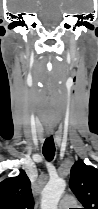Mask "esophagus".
I'll list each match as a JSON object with an SVG mask.
<instances>
[{
  "label": "esophagus",
  "mask_w": 98,
  "mask_h": 209,
  "mask_svg": "<svg viewBox=\"0 0 98 209\" xmlns=\"http://www.w3.org/2000/svg\"><path fill=\"white\" fill-rule=\"evenodd\" d=\"M52 133H53L52 128H50V127H46V134H47V136L52 135Z\"/></svg>",
  "instance_id": "1"
}]
</instances>
